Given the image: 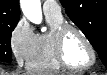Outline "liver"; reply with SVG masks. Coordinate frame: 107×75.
Returning a JSON list of instances; mask_svg holds the SVG:
<instances>
[{
    "mask_svg": "<svg viewBox=\"0 0 107 75\" xmlns=\"http://www.w3.org/2000/svg\"><path fill=\"white\" fill-rule=\"evenodd\" d=\"M13 75H20V74H13ZM22 75H30L29 73H24Z\"/></svg>",
    "mask_w": 107,
    "mask_h": 75,
    "instance_id": "obj_1",
    "label": "liver"
}]
</instances>
